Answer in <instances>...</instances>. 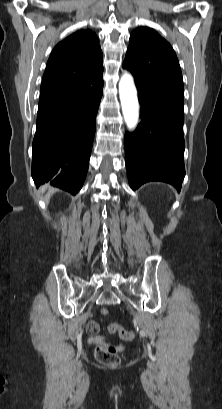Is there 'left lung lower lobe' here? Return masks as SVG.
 <instances>
[{"instance_id":"0a47b994","label":"left lung lower lobe","mask_w":222,"mask_h":409,"mask_svg":"<svg viewBox=\"0 0 222 409\" xmlns=\"http://www.w3.org/2000/svg\"><path fill=\"white\" fill-rule=\"evenodd\" d=\"M141 122L125 134V164L133 190L149 181H163L178 190L185 176L184 102L137 86Z\"/></svg>"}]
</instances>
